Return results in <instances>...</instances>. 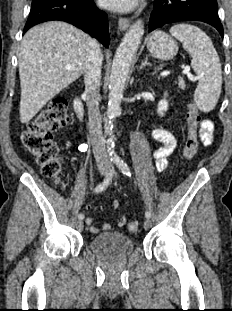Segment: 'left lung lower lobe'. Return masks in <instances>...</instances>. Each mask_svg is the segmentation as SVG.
Masks as SVG:
<instances>
[{"instance_id": "1", "label": "left lung lower lobe", "mask_w": 232, "mask_h": 311, "mask_svg": "<svg viewBox=\"0 0 232 311\" xmlns=\"http://www.w3.org/2000/svg\"><path fill=\"white\" fill-rule=\"evenodd\" d=\"M191 20L214 26L223 37L216 0H154L149 31L168 23Z\"/></svg>"}]
</instances>
